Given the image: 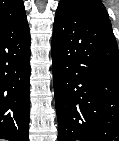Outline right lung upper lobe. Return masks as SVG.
I'll return each mask as SVG.
<instances>
[{"label": "right lung upper lobe", "instance_id": "cb5924a9", "mask_svg": "<svg viewBox=\"0 0 119 141\" xmlns=\"http://www.w3.org/2000/svg\"><path fill=\"white\" fill-rule=\"evenodd\" d=\"M25 15L22 0H0V21L12 20Z\"/></svg>", "mask_w": 119, "mask_h": 141}]
</instances>
